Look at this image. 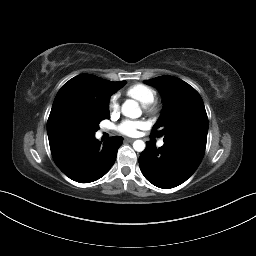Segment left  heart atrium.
Wrapping results in <instances>:
<instances>
[{"label": "left heart atrium", "mask_w": 256, "mask_h": 256, "mask_svg": "<svg viewBox=\"0 0 256 256\" xmlns=\"http://www.w3.org/2000/svg\"><path fill=\"white\" fill-rule=\"evenodd\" d=\"M146 124L139 120H124L118 126L117 130L123 135L134 136L140 129H143Z\"/></svg>", "instance_id": "1"}]
</instances>
